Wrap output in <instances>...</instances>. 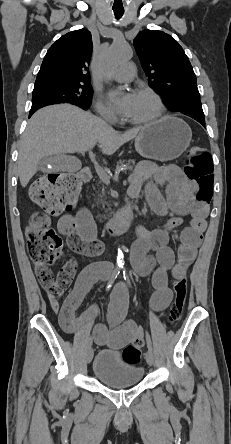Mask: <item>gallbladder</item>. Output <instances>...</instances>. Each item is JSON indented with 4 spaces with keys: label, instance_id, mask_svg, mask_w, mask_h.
Returning <instances> with one entry per match:
<instances>
[{
    "label": "gallbladder",
    "instance_id": "gallbladder-1",
    "mask_svg": "<svg viewBox=\"0 0 231 444\" xmlns=\"http://www.w3.org/2000/svg\"><path fill=\"white\" fill-rule=\"evenodd\" d=\"M64 159H66V157L62 155L44 157L39 161V169L42 172H48L47 165L51 164L53 166L52 171H63L66 169V167L62 165Z\"/></svg>",
    "mask_w": 231,
    "mask_h": 444
}]
</instances>
